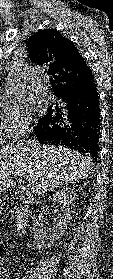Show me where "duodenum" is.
<instances>
[{"mask_svg":"<svg viewBox=\"0 0 113 279\" xmlns=\"http://www.w3.org/2000/svg\"><path fill=\"white\" fill-rule=\"evenodd\" d=\"M16 223L14 233L17 237H22L28 228L30 220V209L26 206H20L16 209Z\"/></svg>","mask_w":113,"mask_h":279,"instance_id":"obj_1","label":"duodenum"}]
</instances>
